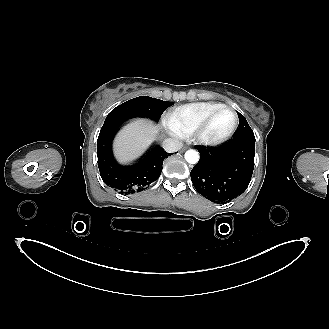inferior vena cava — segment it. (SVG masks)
Masks as SVG:
<instances>
[{
	"label": "inferior vena cava",
	"instance_id": "602c4592",
	"mask_svg": "<svg viewBox=\"0 0 329 329\" xmlns=\"http://www.w3.org/2000/svg\"><path fill=\"white\" fill-rule=\"evenodd\" d=\"M183 144L176 139H165L163 141V148L166 152L172 153L180 150Z\"/></svg>",
	"mask_w": 329,
	"mask_h": 329
}]
</instances>
